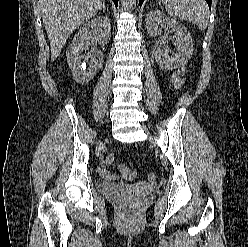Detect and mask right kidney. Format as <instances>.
I'll use <instances>...</instances> for the list:
<instances>
[{"mask_svg":"<svg viewBox=\"0 0 248 247\" xmlns=\"http://www.w3.org/2000/svg\"><path fill=\"white\" fill-rule=\"evenodd\" d=\"M111 35V24L108 17H97L88 21L74 36L73 42L66 51L67 62L76 82L86 84L94 78L97 71V61L93 55H81L88 50L91 43L102 42L107 44ZM91 58L89 66L85 61Z\"/></svg>","mask_w":248,"mask_h":247,"instance_id":"1","label":"right kidney"}]
</instances>
